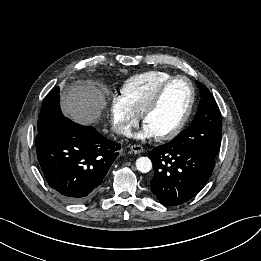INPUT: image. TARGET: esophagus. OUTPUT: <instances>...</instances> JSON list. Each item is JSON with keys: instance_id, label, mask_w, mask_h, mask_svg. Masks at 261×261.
<instances>
[{"instance_id": "obj_1", "label": "esophagus", "mask_w": 261, "mask_h": 261, "mask_svg": "<svg viewBox=\"0 0 261 261\" xmlns=\"http://www.w3.org/2000/svg\"><path fill=\"white\" fill-rule=\"evenodd\" d=\"M130 149L135 154H139V153H142L144 151V149H143V147L141 145H132L130 147Z\"/></svg>"}]
</instances>
